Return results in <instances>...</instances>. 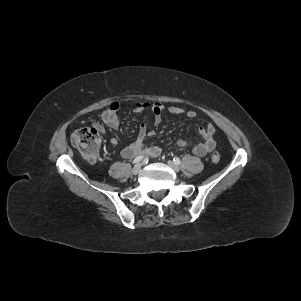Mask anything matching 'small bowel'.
<instances>
[{
  "mask_svg": "<svg viewBox=\"0 0 301 301\" xmlns=\"http://www.w3.org/2000/svg\"><path fill=\"white\" fill-rule=\"evenodd\" d=\"M120 107V103L112 102L108 108L98 114L100 122H93L94 128L101 134H106V128L117 129L120 125L118 117ZM134 108L138 111L150 109L153 114V123L155 125L161 123L165 111L172 115L185 114L189 118H194L196 116V112L194 110H185L179 106H171L165 109V107L159 102H137L135 103ZM198 134L203 141L194 146L193 153L199 157H205L216 147L214 139L215 127L211 123H208L206 126H202L198 129ZM152 136H154V132L148 131L147 125L142 122L139 127L137 139L121 151L122 157L129 159L141 153H146L150 157H158L161 154V149L159 147L145 146V140ZM110 143L113 146H116L118 144V140L115 137H112L110 139ZM176 145L178 148H184L187 145V142L183 139H179L177 140Z\"/></svg>",
  "mask_w": 301,
  "mask_h": 301,
  "instance_id": "1",
  "label": "small bowel"
}]
</instances>
